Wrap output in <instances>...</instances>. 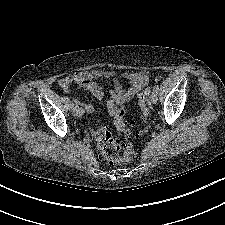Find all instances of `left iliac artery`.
Segmentation results:
<instances>
[{
  "label": "left iliac artery",
  "instance_id": "1",
  "mask_svg": "<svg viewBox=\"0 0 225 225\" xmlns=\"http://www.w3.org/2000/svg\"><path fill=\"white\" fill-rule=\"evenodd\" d=\"M153 90L156 91L158 93L159 91V86L157 84H155V86L153 87Z\"/></svg>",
  "mask_w": 225,
  "mask_h": 225
}]
</instances>
